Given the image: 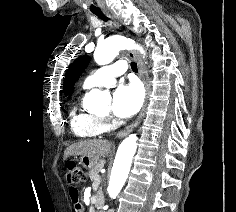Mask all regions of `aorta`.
Wrapping results in <instances>:
<instances>
[{"label":"aorta","instance_id":"762f6f07","mask_svg":"<svg viewBox=\"0 0 236 212\" xmlns=\"http://www.w3.org/2000/svg\"><path fill=\"white\" fill-rule=\"evenodd\" d=\"M126 48L138 49L142 54L144 50L133 41L119 35L111 36L100 43L95 52L94 60L98 65H105L114 60L118 53ZM110 96L99 89H92L84 98L85 106L89 109L108 103ZM136 135L125 138L118 150L112 167V172L107 187L110 198L115 199L123 188L128 177L133 156L137 149Z\"/></svg>","mask_w":236,"mask_h":212}]
</instances>
